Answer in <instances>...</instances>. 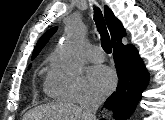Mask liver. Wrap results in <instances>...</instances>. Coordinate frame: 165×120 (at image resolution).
I'll return each instance as SVG.
<instances>
[{
    "label": "liver",
    "mask_w": 165,
    "mask_h": 120,
    "mask_svg": "<svg viewBox=\"0 0 165 120\" xmlns=\"http://www.w3.org/2000/svg\"><path fill=\"white\" fill-rule=\"evenodd\" d=\"M82 109L72 103H57L28 112L23 120H81Z\"/></svg>",
    "instance_id": "obj_1"
}]
</instances>
